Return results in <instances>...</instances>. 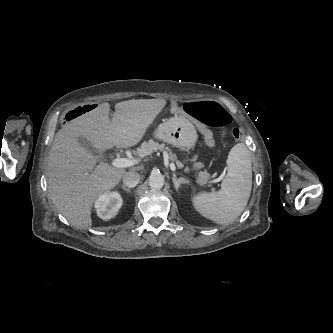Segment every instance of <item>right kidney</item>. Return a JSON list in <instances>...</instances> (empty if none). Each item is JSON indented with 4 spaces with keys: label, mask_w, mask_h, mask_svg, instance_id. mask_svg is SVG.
Masks as SVG:
<instances>
[{
    "label": "right kidney",
    "mask_w": 333,
    "mask_h": 333,
    "mask_svg": "<svg viewBox=\"0 0 333 333\" xmlns=\"http://www.w3.org/2000/svg\"><path fill=\"white\" fill-rule=\"evenodd\" d=\"M123 199L118 192H106L95 201V209L98 217L109 220L116 215L122 206Z\"/></svg>",
    "instance_id": "1"
}]
</instances>
